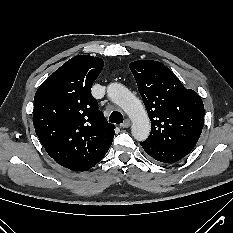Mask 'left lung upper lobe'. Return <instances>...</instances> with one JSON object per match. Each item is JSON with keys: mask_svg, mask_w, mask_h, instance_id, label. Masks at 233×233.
Instances as JSON below:
<instances>
[{"mask_svg": "<svg viewBox=\"0 0 233 233\" xmlns=\"http://www.w3.org/2000/svg\"><path fill=\"white\" fill-rule=\"evenodd\" d=\"M151 121L147 141L190 153L204 124L200 96L186 89L164 64L138 60L129 65Z\"/></svg>", "mask_w": 233, "mask_h": 233, "instance_id": "1", "label": "left lung upper lobe"}]
</instances>
